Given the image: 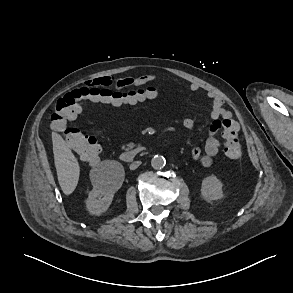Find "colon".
Returning a JSON list of instances; mask_svg holds the SVG:
<instances>
[{"instance_id": "obj_1", "label": "colon", "mask_w": 293, "mask_h": 293, "mask_svg": "<svg viewBox=\"0 0 293 293\" xmlns=\"http://www.w3.org/2000/svg\"><path fill=\"white\" fill-rule=\"evenodd\" d=\"M140 92L141 90L121 93L104 83L75 89L57 100L51 117V125L53 129L63 133L65 141L78 153L82 161L94 164L98 161L101 152L99 142L94 136L85 134L76 127L68 126V122L80 114L81 105L85 100L102 103L118 102ZM222 126L225 154L230 159H239L242 151L238 140L237 122L233 119H225Z\"/></svg>"}]
</instances>
